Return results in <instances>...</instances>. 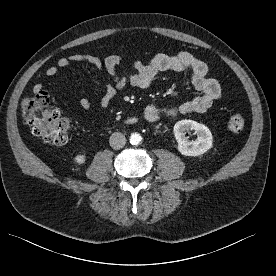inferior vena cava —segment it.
I'll return each mask as SVG.
<instances>
[{"label":"inferior vena cava","mask_w":276,"mask_h":276,"mask_svg":"<svg viewBox=\"0 0 276 276\" xmlns=\"http://www.w3.org/2000/svg\"><path fill=\"white\" fill-rule=\"evenodd\" d=\"M110 146L115 149H121L126 144V137L124 134L120 132H114L109 139Z\"/></svg>","instance_id":"602c4592"}]
</instances>
